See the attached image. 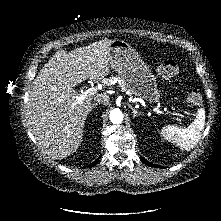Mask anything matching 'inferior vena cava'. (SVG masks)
<instances>
[{
	"label": "inferior vena cava",
	"instance_id": "1",
	"mask_svg": "<svg viewBox=\"0 0 221 221\" xmlns=\"http://www.w3.org/2000/svg\"><path fill=\"white\" fill-rule=\"evenodd\" d=\"M94 100L97 103H101L103 105H108L110 98L107 95L104 94H98L94 97Z\"/></svg>",
	"mask_w": 221,
	"mask_h": 221
}]
</instances>
